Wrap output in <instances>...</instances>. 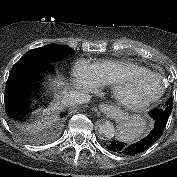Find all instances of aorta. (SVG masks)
<instances>
[{"label":"aorta","mask_w":177,"mask_h":177,"mask_svg":"<svg viewBox=\"0 0 177 177\" xmlns=\"http://www.w3.org/2000/svg\"><path fill=\"white\" fill-rule=\"evenodd\" d=\"M98 133L104 139H112L115 136V127L110 121H102L98 125Z\"/></svg>","instance_id":"1"}]
</instances>
